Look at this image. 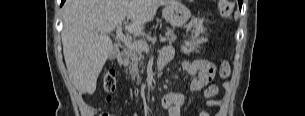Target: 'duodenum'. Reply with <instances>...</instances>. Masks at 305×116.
Here are the masks:
<instances>
[{
  "label": "duodenum",
  "mask_w": 305,
  "mask_h": 116,
  "mask_svg": "<svg viewBox=\"0 0 305 116\" xmlns=\"http://www.w3.org/2000/svg\"><path fill=\"white\" fill-rule=\"evenodd\" d=\"M128 61H129V55L127 53H121L118 56V62L120 65H126L128 63ZM167 63H168L167 59L159 60V63H158L159 69H163Z\"/></svg>",
  "instance_id": "410a0bca"
}]
</instances>
